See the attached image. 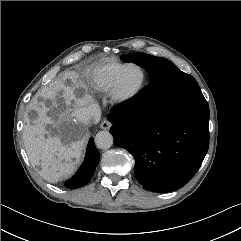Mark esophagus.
I'll list each match as a JSON object with an SVG mask.
<instances>
[{
  "label": "esophagus",
  "instance_id": "esophagus-1",
  "mask_svg": "<svg viewBox=\"0 0 241 241\" xmlns=\"http://www.w3.org/2000/svg\"><path fill=\"white\" fill-rule=\"evenodd\" d=\"M101 129L108 130L111 127V123L108 120H104L100 124Z\"/></svg>",
  "mask_w": 241,
  "mask_h": 241
}]
</instances>
